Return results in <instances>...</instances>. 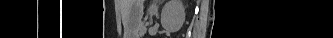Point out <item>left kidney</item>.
I'll return each instance as SVG.
<instances>
[{
    "instance_id": "5707ae66",
    "label": "left kidney",
    "mask_w": 333,
    "mask_h": 38,
    "mask_svg": "<svg viewBox=\"0 0 333 38\" xmlns=\"http://www.w3.org/2000/svg\"><path fill=\"white\" fill-rule=\"evenodd\" d=\"M185 8L181 0H169L161 12V25L169 32L178 31L185 21Z\"/></svg>"
}]
</instances>
